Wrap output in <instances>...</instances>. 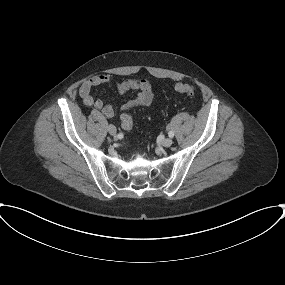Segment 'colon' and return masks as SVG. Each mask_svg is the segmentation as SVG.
I'll use <instances>...</instances> for the list:
<instances>
[{
    "mask_svg": "<svg viewBox=\"0 0 285 285\" xmlns=\"http://www.w3.org/2000/svg\"><path fill=\"white\" fill-rule=\"evenodd\" d=\"M175 90L178 93L184 94V95H188V96H192L195 93V88L193 85L191 84H187V83H177L175 85ZM121 123H122V127L129 131L132 129L133 127V118L130 114H122L121 116Z\"/></svg>",
    "mask_w": 285,
    "mask_h": 285,
    "instance_id": "obj_1",
    "label": "colon"
}]
</instances>
